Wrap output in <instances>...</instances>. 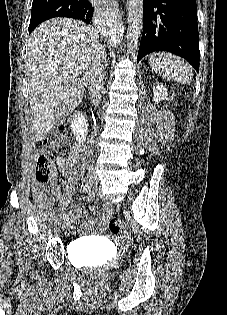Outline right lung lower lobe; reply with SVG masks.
<instances>
[{"mask_svg":"<svg viewBox=\"0 0 227 315\" xmlns=\"http://www.w3.org/2000/svg\"><path fill=\"white\" fill-rule=\"evenodd\" d=\"M94 8L88 0H79L76 4L63 10L62 17L82 20L88 24L91 23Z\"/></svg>","mask_w":227,"mask_h":315,"instance_id":"98d812e1","label":"right lung lower lobe"}]
</instances>
